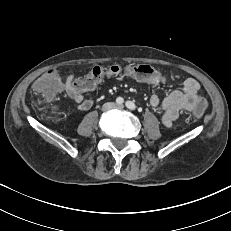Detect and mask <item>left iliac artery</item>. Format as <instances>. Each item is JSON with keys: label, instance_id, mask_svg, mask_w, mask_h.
<instances>
[{"label": "left iliac artery", "instance_id": "44dca946", "mask_svg": "<svg viewBox=\"0 0 231 231\" xmlns=\"http://www.w3.org/2000/svg\"><path fill=\"white\" fill-rule=\"evenodd\" d=\"M125 105L130 110H135L136 109V105L131 101H126Z\"/></svg>", "mask_w": 231, "mask_h": 231}]
</instances>
